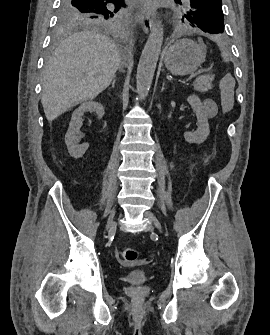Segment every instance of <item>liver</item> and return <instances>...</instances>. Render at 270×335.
<instances>
[{"label":"liver","instance_id":"1","mask_svg":"<svg viewBox=\"0 0 270 335\" xmlns=\"http://www.w3.org/2000/svg\"><path fill=\"white\" fill-rule=\"evenodd\" d=\"M122 52L98 32H76L61 42L43 76L41 104L48 122L110 86Z\"/></svg>","mask_w":270,"mask_h":335}]
</instances>
